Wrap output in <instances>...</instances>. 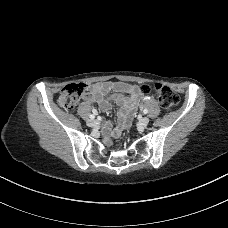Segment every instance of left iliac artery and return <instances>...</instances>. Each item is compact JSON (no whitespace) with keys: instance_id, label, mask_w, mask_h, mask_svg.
<instances>
[{"instance_id":"left-iliac-artery-1","label":"left iliac artery","mask_w":228,"mask_h":228,"mask_svg":"<svg viewBox=\"0 0 228 228\" xmlns=\"http://www.w3.org/2000/svg\"><path fill=\"white\" fill-rule=\"evenodd\" d=\"M143 113H144V114H147V113H148V110H147V109H144V110H143Z\"/></svg>"}]
</instances>
